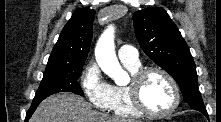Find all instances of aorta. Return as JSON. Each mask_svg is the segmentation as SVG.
Returning a JSON list of instances; mask_svg holds the SVG:
<instances>
[{
	"label": "aorta",
	"mask_w": 221,
	"mask_h": 122,
	"mask_svg": "<svg viewBox=\"0 0 221 122\" xmlns=\"http://www.w3.org/2000/svg\"><path fill=\"white\" fill-rule=\"evenodd\" d=\"M95 57L102 71L114 79L116 84H123L125 82L126 73L116 57L112 28L107 29L100 37L96 45Z\"/></svg>",
	"instance_id": "1"
}]
</instances>
